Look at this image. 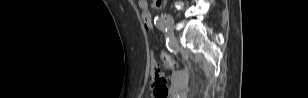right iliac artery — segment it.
I'll return each instance as SVG.
<instances>
[{"mask_svg": "<svg viewBox=\"0 0 308 98\" xmlns=\"http://www.w3.org/2000/svg\"><path fill=\"white\" fill-rule=\"evenodd\" d=\"M154 24L157 26V28H159V29L162 30V31L167 30V28H166V22H165V20L163 19V17H159V16L155 17V19H154Z\"/></svg>", "mask_w": 308, "mask_h": 98, "instance_id": "obj_1", "label": "right iliac artery"}]
</instances>
